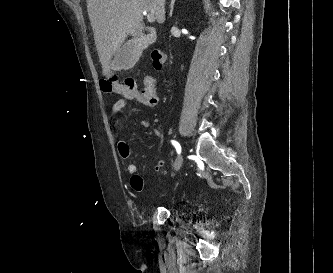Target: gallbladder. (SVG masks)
<instances>
[{
    "label": "gallbladder",
    "instance_id": "gallbladder-1",
    "mask_svg": "<svg viewBox=\"0 0 333 273\" xmlns=\"http://www.w3.org/2000/svg\"><path fill=\"white\" fill-rule=\"evenodd\" d=\"M147 40H130L118 51L115 57L117 70H129L138 62Z\"/></svg>",
    "mask_w": 333,
    "mask_h": 273
}]
</instances>
